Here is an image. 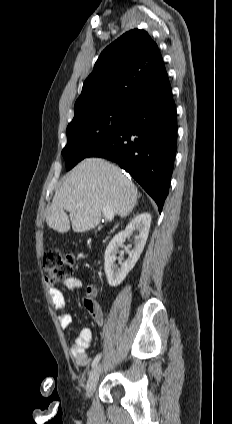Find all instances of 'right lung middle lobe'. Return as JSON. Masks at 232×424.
<instances>
[{
	"mask_svg": "<svg viewBox=\"0 0 232 424\" xmlns=\"http://www.w3.org/2000/svg\"><path fill=\"white\" fill-rule=\"evenodd\" d=\"M130 109L128 105L108 104L76 114L67 127V145L62 150L66 170L73 168L126 124Z\"/></svg>",
	"mask_w": 232,
	"mask_h": 424,
	"instance_id": "1",
	"label": "right lung middle lobe"
}]
</instances>
